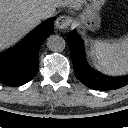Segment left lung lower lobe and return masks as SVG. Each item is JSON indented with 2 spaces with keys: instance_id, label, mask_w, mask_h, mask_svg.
<instances>
[{
  "instance_id": "0a47b994",
  "label": "left lung lower lobe",
  "mask_w": 128,
  "mask_h": 128,
  "mask_svg": "<svg viewBox=\"0 0 128 128\" xmlns=\"http://www.w3.org/2000/svg\"><path fill=\"white\" fill-rule=\"evenodd\" d=\"M67 42L76 78L89 88L101 91L114 90L128 85V77L106 79L102 74L88 67L83 59L81 40L76 32L67 35Z\"/></svg>"
}]
</instances>
